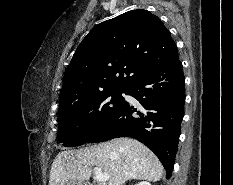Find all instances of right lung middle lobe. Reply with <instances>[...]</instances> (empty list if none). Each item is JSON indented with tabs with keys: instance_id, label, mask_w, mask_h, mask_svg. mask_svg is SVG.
Wrapping results in <instances>:
<instances>
[{
	"instance_id": "1",
	"label": "right lung middle lobe",
	"mask_w": 233,
	"mask_h": 185,
	"mask_svg": "<svg viewBox=\"0 0 233 185\" xmlns=\"http://www.w3.org/2000/svg\"><path fill=\"white\" fill-rule=\"evenodd\" d=\"M127 89H109L79 99L59 109V142L79 146L102 127L125 102Z\"/></svg>"
}]
</instances>
